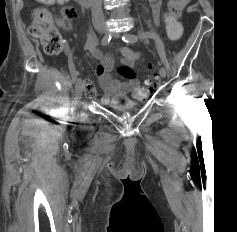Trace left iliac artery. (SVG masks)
<instances>
[{
    "label": "left iliac artery",
    "instance_id": "left-iliac-artery-1",
    "mask_svg": "<svg viewBox=\"0 0 237 232\" xmlns=\"http://www.w3.org/2000/svg\"><path fill=\"white\" fill-rule=\"evenodd\" d=\"M151 38L155 39V35L151 32H143L139 36L133 35V34H126L125 36L122 37L124 42L127 43H134L138 41V38Z\"/></svg>",
    "mask_w": 237,
    "mask_h": 232
}]
</instances>
